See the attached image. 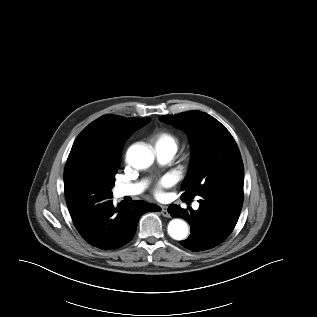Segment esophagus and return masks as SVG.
I'll return each mask as SVG.
<instances>
[{"label":"esophagus","mask_w":317,"mask_h":317,"mask_svg":"<svg viewBox=\"0 0 317 317\" xmlns=\"http://www.w3.org/2000/svg\"><path fill=\"white\" fill-rule=\"evenodd\" d=\"M161 214H162V216H164V217H167V218L170 217V214L168 213L166 206H161Z\"/></svg>","instance_id":"1"}]
</instances>
